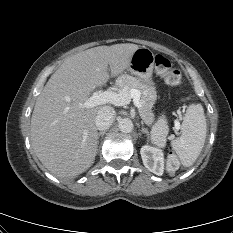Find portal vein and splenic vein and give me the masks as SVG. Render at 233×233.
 Listing matches in <instances>:
<instances>
[{"instance_id": "18ae733b", "label": "portal vein and splenic vein", "mask_w": 233, "mask_h": 233, "mask_svg": "<svg viewBox=\"0 0 233 233\" xmlns=\"http://www.w3.org/2000/svg\"><path fill=\"white\" fill-rule=\"evenodd\" d=\"M140 96L141 93L137 89H130L128 90L125 87L120 92H113V91H96L93 95L88 98L82 106L84 108H93L98 105H103L106 103H111L115 106H124L130 103L131 99H133L134 105L140 110L141 103H140ZM176 129L179 128V122H175Z\"/></svg>"}]
</instances>
